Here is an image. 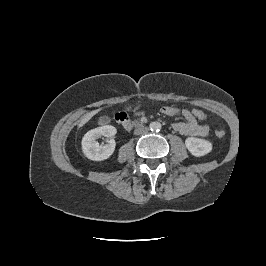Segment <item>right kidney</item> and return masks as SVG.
<instances>
[{
  "instance_id": "1",
  "label": "right kidney",
  "mask_w": 266,
  "mask_h": 266,
  "mask_svg": "<svg viewBox=\"0 0 266 266\" xmlns=\"http://www.w3.org/2000/svg\"><path fill=\"white\" fill-rule=\"evenodd\" d=\"M116 134V128L111 125H104L88 131L82 139V150L85 156L93 161H102L109 158L116 143L114 139L107 140L105 145H99L97 139L104 136L111 138Z\"/></svg>"
}]
</instances>
